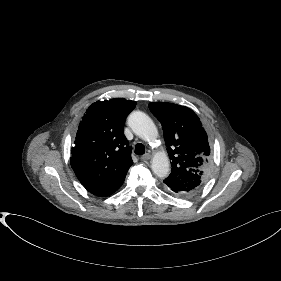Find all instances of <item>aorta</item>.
Segmentation results:
<instances>
[{"label": "aorta", "instance_id": "762f6f07", "mask_svg": "<svg viewBox=\"0 0 281 281\" xmlns=\"http://www.w3.org/2000/svg\"><path fill=\"white\" fill-rule=\"evenodd\" d=\"M128 124L133 132L146 142L157 140L158 131L152 119L141 111L132 112ZM152 171L159 178H165L170 172L169 159L164 152H157L151 163Z\"/></svg>", "mask_w": 281, "mask_h": 281}]
</instances>
